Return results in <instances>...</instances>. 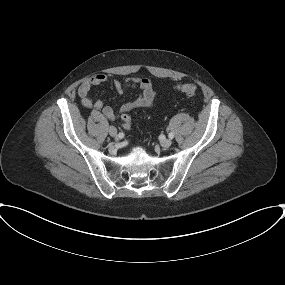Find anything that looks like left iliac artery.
Segmentation results:
<instances>
[{"instance_id": "left-iliac-artery-1", "label": "left iliac artery", "mask_w": 285, "mask_h": 285, "mask_svg": "<svg viewBox=\"0 0 285 285\" xmlns=\"http://www.w3.org/2000/svg\"><path fill=\"white\" fill-rule=\"evenodd\" d=\"M168 137H169L170 139H173L174 133L170 132V133L168 134Z\"/></svg>"}]
</instances>
